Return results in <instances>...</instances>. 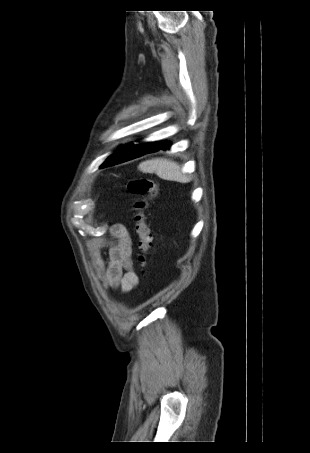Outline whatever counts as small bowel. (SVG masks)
Wrapping results in <instances>:
<instances>
[{"instance_id":"c3829d8e","label":"small bowel","mask_w":310,"mask_h":453,"mask_svg":"<svg viewBox=\"0 0 310 453\" xmlns=\"http://www.w3.org/2000/svg\"><path fill=\"white\" fill-rule=\"evenodd\" d=\"M115 243L110 247L108 258L98 245H92V256L106 289L129 292L136 288L139 278L132 265V242L129 232L122 224L109 229Z\"/></svg>"}]
</instances>
